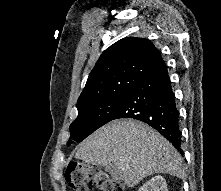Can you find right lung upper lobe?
I'll return each mask as SVG.
<instances>
[{
	"label": "right lung upper lobe",
	"mask_w": 221,
	"mask_h": 191,
	"mask_svg": "<svg viewBox=\"0 0 221 191\" xmlns=\"http://www.w3.org/2000/svg\"><path fill=\"white\" fill-rule=\"evenodd\" d=\"M163 65L160 52L148 39L123 38L102 53L89 74L77 108L130 92Z\"/></svg>",
	"instance_id": "obj_1"
}]
</instances>
